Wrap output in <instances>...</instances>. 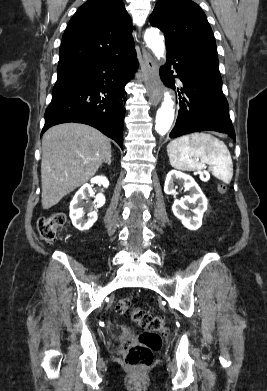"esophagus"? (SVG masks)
Segmentation results:
<instances>
[{
    "mask_svg": "<svg viewBox=\"0 0 267 391\" xmlns=\"http://www.w3.org/2000/svg\"><path fill=\"white\" fill-rule=\"evenodd\" d=\"M143 62L146 71V79L149 83L150 100L153 105H157L163 95V87L154 84L159 78V67L153 57L145 50L143 51Z\"/></svg>",
    "mask_w": 267,
    "mask_h": 391,
    "instance_id": "obj_1",
    "label": "esophagus"
}]
</instances>
